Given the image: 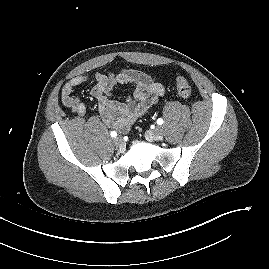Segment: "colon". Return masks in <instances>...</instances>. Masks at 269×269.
<instances>
[{
	"mask_svg": "<svg viewBox=\"0 0 269 269\" xmlns=\"http://www.w3.org/2000/svg\"><path fill=\"white\" fill-rule=\"evenodd\" d=\"M176 87H177V92L180 97L184 99L190 98L191 93H192L191 87L187 79L184 76L178 75L176 77Z\"/></svg>",
	"mask_w": 269,
	"mask_h": 269,
	"instance_id": "1",
	"label": "colon"
}]
</instances>
